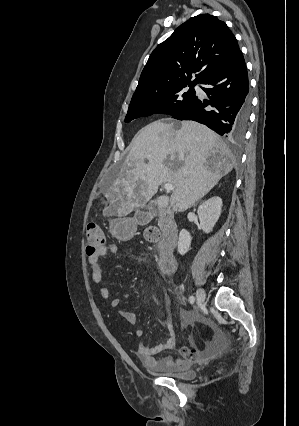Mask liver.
Wrapping results in <instances>:
<instances>
[{
    "label": "liver",
    "instance_id": "liver-1",
    "mask_svg": "<svg viewBox=\"0 0 299 426\" xmlns=\"http://www.w3.org/2000/svg\"><path fill=\"white\" fill-rule=\"evenodd\" d=\"M234 167L227 145L208 127L193 121H154L133 138L128 157L113 183L103 189L105 215L126 216L144 206L162 183L175 186L160 196L158 208L183 212L205 196Z\"/></svg>",
    "mask_w": 299,
    "mask_h": 426
}]
</instances>
